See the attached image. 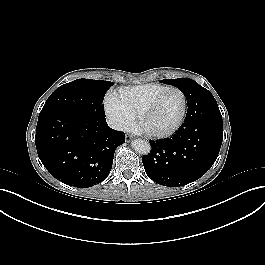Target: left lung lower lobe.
I'll list each match as a JSON object with an SVG mask.
<instances>
[{"label": "left lung lower lobe", "instance_id": "0a47b994", "mask_svg": "<svg viewBox=\"0 0 265 265\" xmlns=\"http://www.w3.org/2000/svg\"><path fill=\"white\" fill-rule=\"evenodd\" d=\"M182 126L166 140L150 141L142 157L150 179L167 187L187 185L214 164L222 144V116L213 95L205 88L192 90Z\"/></svg>", "mask_w": 265, "mask_h": 265}]
</instances>
